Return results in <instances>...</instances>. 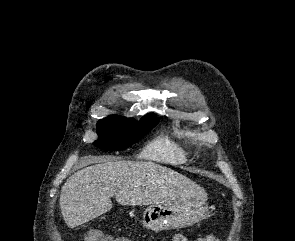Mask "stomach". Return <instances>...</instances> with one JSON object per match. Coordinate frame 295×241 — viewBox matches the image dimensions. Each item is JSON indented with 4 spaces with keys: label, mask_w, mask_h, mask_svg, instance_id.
Listing matches in <instances>:
<instances>
[{
    "label": "stomach",
    "mask_w": 295,
    "mask_h": 241,
    "mask_svg": "<svg viewBox=\"0 0 295 241\" xmlns=\"http://www.w3.org/2000/svg\"><path fill=\"white\" fill-rule=\"evenodd\" d=\"M209 216L205 200L192 199L182 203L151 204L143 213L145 228L158 232L186 228Z\"/></svg>",
    "instance_id": "stomach-1"
}]
</instances>
